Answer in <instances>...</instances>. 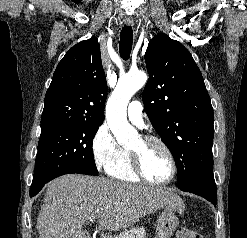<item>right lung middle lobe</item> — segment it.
<instances>
[{
  "label": "right lung middle lobe",
  "mask_w": 247,
  "mask_h": 238,
  "mask_svg": "<svg viewBox=\"0 0 247 238\" xmlns=\"http://www.w3.org/2000/svg\"><path fill=\"white\" fill-rule=\"evenodd\" d=\"M101 122H76L41 128L30 190L64 174L98 175L92 143Z\"/></svg>",
  "instance_id": "obj_1"
}]
</instances>
